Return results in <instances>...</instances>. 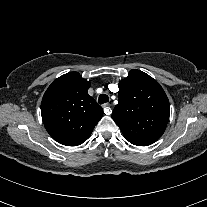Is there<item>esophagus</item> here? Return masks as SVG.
Segmentation results:
<instances>
[{
	"mask_svg": "<svg viewBox=\"0 0 207 207\" xmlns=\"http://www.w3.org/2000/svg\"><path fill=\"white\" fill-rule=\"evenodd\" d=\"M103 109H104V113L106 115H110L112 113V110L110 108V104L109 103L103 104Z\"/></svg>",
	"mask_w": 207,
	"mask_h": 207,
	"instance_id": "34e87169",
	"label": "esophagus"
}]
</instances>
